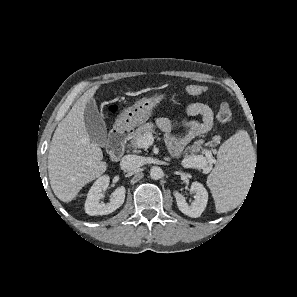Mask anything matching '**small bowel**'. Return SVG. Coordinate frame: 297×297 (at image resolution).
Segmentation results:
<instances>
[{
    "instance_id": "small-bowel-1",
    "label": "small bowel",
    "mask_w": 297,
    "mask_h": 297,
    "mask_svg": "<svg viewBox=\"0 0 297 297\" xmlns=\"http://www.w3.org/2000/svg\"><path fill=\"white\" fill-rule=\"evenodd\" d=\"M186 113L189 116H199L200 120H184L182 126L186 128V132L181 136L173 135L172 130L175 127L173 121L165 117L156 119L157 126L166 133L165 143L173 157L180 156L194 139L207 133L213 126V113L206 103H190L186 106Z\"/></svg>"
}]
</instances>
